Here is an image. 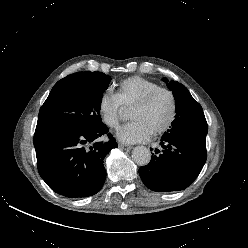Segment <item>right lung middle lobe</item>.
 I'll list each match as a JSON object with an SVG mask.
<instances>
[{
    "instance_id": "dd1d6c3e",
    "label": "right lung middle lobe",
    "mask_w": 248,
    "mask_h": 248,
    "mask_svg": "<svg viewBox=\"0 0 248 248\" xmlns=\"http://www.w3.org/2000/svg\"><path fill=\"white\" fill-rule=\"evenodd\" d=\"M109 80L110 76L102 72L78 73L70 83L49 94L40 108L37 126L59 129L103 127L100 106Z\"/></svg>"
}]
</instances>
